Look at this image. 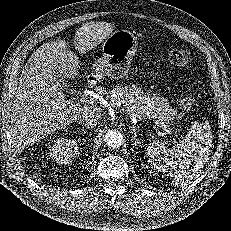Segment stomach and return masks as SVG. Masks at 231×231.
<instances>
[{
	"label": "stomach",
	"mask_w": 231,
	"mask_h": 231,
	"mask_svg": "<svg viewBox=\"0 0 231 231\" xmlns=\"http://www.w3.org/2000/svg\"><path fill=\"white\" fill-rule=\"evenodd\" d=\"M138 48V40L128 30H116L102 44V58L92 67L90 78L99 80L109 76L118 80L125 77Z\"/></svg>",
	"instance_id": "stomach-1"
}]
</instances>
